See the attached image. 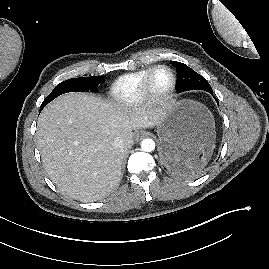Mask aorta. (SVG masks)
Returning a JSON list of instances; mask_svg holds the SVG:
<instances>
[{
    "mask_svg": "<svg viewBox=\"0 0 269 269\" xmlns=\"http://www.w3.org/2000/svg\"><path fill=\"white\" fill-rule=\"evenodd\" d=\"M141 148L145 152H152L155 149V142L151 138H146L141 141Z\"/></svg>",
    "mask_w": 269,
    "mask_h": 269,
    "instance_id": "1",
    "label": "aorta"
}]
</instances>
